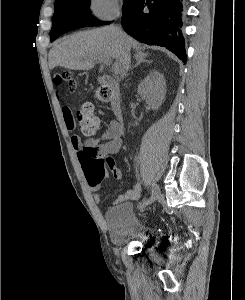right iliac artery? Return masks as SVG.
Here are the masks:
<instances>
[{"mask_svg": "<svg viewBox=\"0 0 245 300\" xmlns=\"http://www.w3.org/2000/svg\"><path fill=\"white\" fill-rule=\"evenodd\" d=\"M149 201V198L148 197H145L143 202L141 201L139 204L142 206L143 204H147Z\"/></svg>", "mask_w": 245, "mask_h": 300, "instance_id": "right-iliac-artery-1", "label": "right iliac artery"}]
</instances>
